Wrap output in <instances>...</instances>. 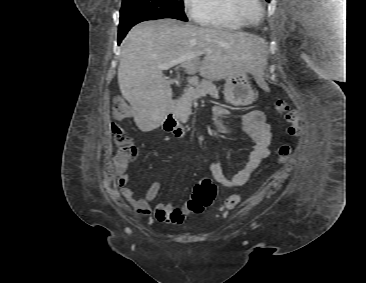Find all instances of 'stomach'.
Wrapping results in <instances>:
<instances>
[{
    "mask_svg": "<svg viewBox=\"0 0 366 283\" xmlns=\"http://www.w3.org/2000/svg\"><path fill=\"white\" fill-rule=\"evenodd\" d=\"M242 90H245L253 95L246 72L230 73L226 77V83L224 87V98L226 102L236 104L238 102L237 93Z\"/></svg>",
    "mask_w": 366,
    "mask_h": 283,
    "instance_id": "obj_1",
    "label": "stomach"
}]
</instances>
